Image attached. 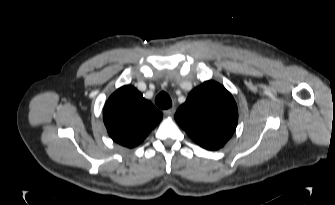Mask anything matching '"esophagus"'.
<instances>
[{
    "label": "esophagus",
    "mask_w": 335,
    "mask_h": 205,
    "mask_svg": "<svg viewBox=\"0 0 335 205\" xmlns=\"http://www.w3.org/2000/svg\"><path fill=\"white\" fill-rule=\"evenodd\" d=\"M163 113L165 116H172L175 113V108L172 107V108L166 109L163 111Z\"/></svg>",
    "instance_id": "1"
}]
</instances>
